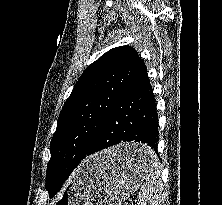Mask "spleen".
<instances>
[{
    "mask_svg": "<svg viewBox=\"0 0 222 205\" xmlns=\"http://www.w3.org/2000/svg\"><path fill=\"white\" fill-rule=\"evenodd\" d=\"M160 177V166L157 162H152L138 194V205H162L163 183Z\"/></svg>",
    "mask_w": 222,
    "mask_h": 205,
    "instance_id": "3e777b00",
    "label": "spleen"
}]
</instances>
